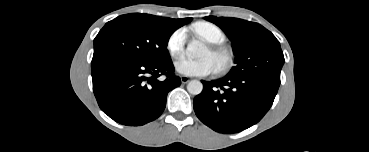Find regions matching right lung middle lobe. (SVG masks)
<instances>
[{
	"label": "right lung middle lobe",
	"mask_w": 369,
	"mask_h": 152,
	"mask_svg": "<svg viewBox=\"0 0 369 152\" xmlns=\"http://www.w3.org/2000/svg\"><path fill=\"white\" fill-rule=\"evenodd\" d=\"M176 29L136 13L119 16L106 23L95 37L91 66L115 59L143 63L167 60L168 40Z\"/></svg>",
	"instance_id": "obj_1"
}]
</instances>
